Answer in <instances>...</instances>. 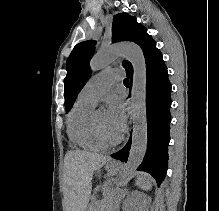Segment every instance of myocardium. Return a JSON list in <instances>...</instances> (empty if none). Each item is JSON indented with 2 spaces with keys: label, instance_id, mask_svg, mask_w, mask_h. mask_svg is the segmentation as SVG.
<instances>
[{
  "label": "myocardium",
  "instance_id": "obj_1",
  "mask_svg": "<svg viewBox=\"0 0 219 211\" xmlns=\"http://www.w3.org/2000/svg\"><path fill=\"white\" fill-rule=\"evenodd\" d=\"M92 123L93 127L98 134V136L105 141L108 144H116L121 141L122 139V134L116 133V134H109L107 133L99 124L97 117H96V112L92 114Z\"/></svg>",
  "mask_w": 219,
  "mask_h": 211
}]
</instances>
